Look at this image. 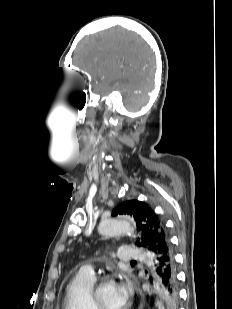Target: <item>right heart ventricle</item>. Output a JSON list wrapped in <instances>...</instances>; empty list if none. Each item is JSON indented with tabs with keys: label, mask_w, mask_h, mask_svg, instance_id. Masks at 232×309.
<instances>
[{
	"label": "right heart ventricle",
	"mask_w": 232,
	"mask_h": 309,
	"mask_svg": "<svg viewBox=\"0 0 232 309\" xmlns=\"http://www.w3.org/2000/svg\"><path fill=\"white\" fill-rule=\"evenodd\" d=\"M94 281V276L79 271L66 287L64 309H93L90 290Z\"/></svg>",
	"instance_id": "1"
}]
</instances>
